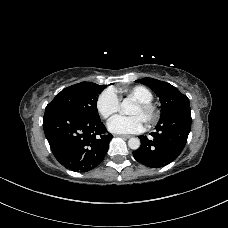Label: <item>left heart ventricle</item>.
I'll return each instance as SVG.
<instances>
[{
    "mask_svg": "<svg viewBox=\"0 0 228 228\" xmlns=\"http://www.w3.org/2000/svg\"><path fill=\"white\" fill-rule=\"evenodd\" d=\"M130 114L131 115H138L144 120V122L146 121V118H147L146 114L135 104L133 105V107L130 111Z\"/></svg>",
    "mask_w": 228,
    "mask_h": 228,
    "instance_id": "1",
    "label": "left heart ventricle"
}]
</instances>
